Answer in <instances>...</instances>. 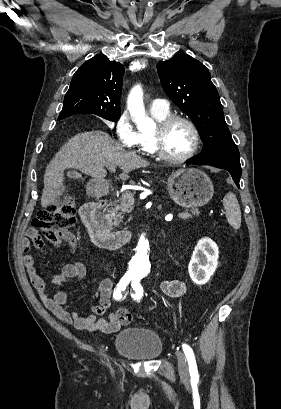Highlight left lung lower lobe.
<instances>
[{
    "instance_id": "obj_1",
    "label": "left lung lower lobe",
    "mask_w": 281,
    "mask_h": 409,
    "mask_svg": "<svg viewBox=\"0 0 281 409\" xmlns=\"http://www.w3.org/2000/svg\"><path fill=\"white\" fill-rule=\"evenodd\" d=\"M190 164L210 165V166H214L217 168L228 170L230 174L232 175L234 182L236 183L238 188H240L239 181H240L242 169H241L239 157H233V156H214V157H205V158L196 157L187 162V165H190Z\"/></svg>"
}]
</instances>
